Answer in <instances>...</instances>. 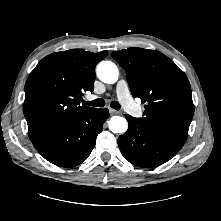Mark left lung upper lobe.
<instances>
[{"mask_svg":"<svg viewBox=\"0 0 221 221\" xmlns=\"http://www.w3.org/2000/svg\"><path fill=\"white\" fill-rule=\"evenodd\" d=\"M126 71L133 97L146 102L141 121L155 132L185 142L194 113L185 73L164 54L129 48L112 53Z\"/></svg>","mask_w":221,"mask_h":221,"instance_id":"left-lung-upper-lobe-1","label":"left lung upper lobe"}]
</instances>
